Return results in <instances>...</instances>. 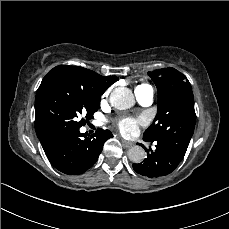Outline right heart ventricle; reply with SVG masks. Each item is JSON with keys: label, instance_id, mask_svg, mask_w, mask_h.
Listing matches in <instances>:
<instances>
[{"label": "right heart ventricle", "instance_id": "obj_1", "mask_svg": "<svg viewBox=\"0 0 229 229\" xmlns=\"http://www.w3.org/2000/svg\"><path fill=\"white\" fill-rule=\"evenodd\" d=\"M144 86H146V84H140V85H138V86L136 87V89L139 88V87H144Z\"/></svg>", "mask_w": 229, "mask_h": 229}]
</instances>
